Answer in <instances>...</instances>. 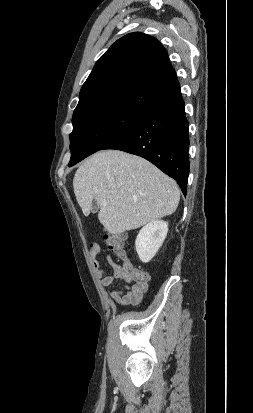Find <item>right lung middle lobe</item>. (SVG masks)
<instances>
[{"label": "right lung middle lobe", "instance_id": "obj_1", "mask_svg": "<svg viewBox=\"0 0 253 413\" xmlns=\"http://www.w3.org/2000/svg\"><path fill=\"white\" fill-rule=\"evenodd\" d=\"M146 114L129 110H112L73 122L70 134L69 167L104 149L135 129Z\"/></svg>", "mask_w": 253, "mask_h": 413}]
</instances>
